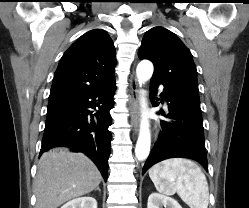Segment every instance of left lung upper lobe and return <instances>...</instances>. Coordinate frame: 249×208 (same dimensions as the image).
Listing matches in <instances>:
<instances>
[{"instance_id": "obj_1", "label": "left lung upper lobe", "mask_w": 249, "mask_h": 208, "mask_svg": "<svg viewBox=\"0 0 249 208\" xmlns=\"http://www.w3.org/2000/svg\"><path fill=\"white\" fill-rule=\"evenodd\" d=\"M138 56L154 64L152 79L200 102L197 70L189 49L171 31L154 27L143 37Z\"/></svg>"}]
</instances>
